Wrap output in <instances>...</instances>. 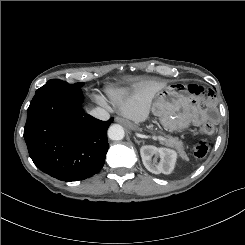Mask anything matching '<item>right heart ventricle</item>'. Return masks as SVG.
Wrapping results in <instances>:
<instances>
[{"label":"right heart ventricle","mask_w":245,"mask_h":245,"mask_svg":"<svg viewBox=\"0 0 245 245\" xmlns=\"http://www.w3.org/2000/svg\"><path fill=\"white\" fill-rule=\"evenodd\" d=\"M113 96H114V97H116L117 95H116V94H114Z\"/></svg>","instance_id":"right-heart-ventricle-1"}]
</instances>
